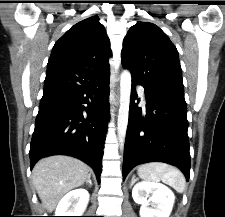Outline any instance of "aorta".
<instances>
[{"label": "aorta", "mask_w": 225, "mask_h": 217, "mask_svg": "<svg viewBox=\"0 0 225 217\" xmlns=\"http://www.w3.org/2000/svg\"><path fill=\"white\" fill-rule=\"evenodd\" d=\"M130 94H131V74L129 71L125 70L121 74L120 79V108L117 121L118 139L121 144L125 140L127 131Z\"/></svg>", "instance_id": "1"}]
</instances>
